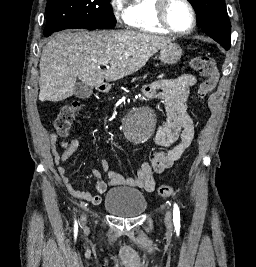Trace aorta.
I'll use <instances>...</instances> for the list:
<instances>
[{
    "label": "aorta",
    "mask_w": 256,
    "mask_h": 267,
    "mask_svg": "<svg viewBox=\"0 0 256 267\" xmlns=\"http://www.w3.org/2000/svg\"><path fill=\"white\" fill-rule=\"evenodd\" d=\"M153 108H134L133 117H123L126 127H154L152 122ZM125 138L130 143H147V138H153L157 128H124Z\"/></svg>",
    "instance_id": "obj_1"
}]
</instances>
